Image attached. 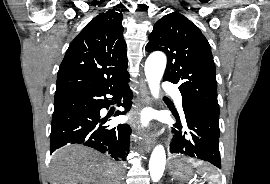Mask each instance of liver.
Masks as SVG:
<instances>
[{"mask_svg": "<svg viewBox=\"0 0 270 184\" xmlns=\"http://www.w3.org/2000/svg\"><path fill=\"white\" fill-rule=\"evenodd\" d=\"M118 165L81 145L61 148L53 156L52 184H117Z\"/></svg>", "mask_w": 270, "mask_h": 184, "instance_id": "6515ba94", "label": "liver"}]
</instances>
